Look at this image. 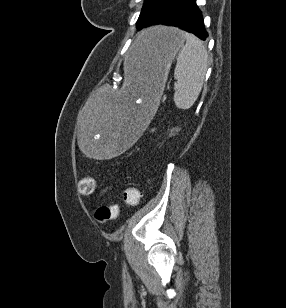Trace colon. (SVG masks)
I'll return each instance as SVG.
<instances>
[{"label":"colon","mask_w":286,"mask_h":308,"mask_svg":"<svg viewBox=\"0 0 286 308\" xmlns=\"http://www.w3.org/2000/svg\"><path fill=\"white\" fill-rule=\"evenodd\" d=\"M96 184L94 179L86 177L80 179L78 189L83 194H91L95 190ZM139 190L135 186H128L123 191V200L126 204L135 206L139 203ZM120 213L118 205L101 206L95 212V218L101 222H107L115 219Z\"/></svg>","instance_id":"colon-1"}]
</instances>
